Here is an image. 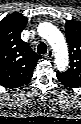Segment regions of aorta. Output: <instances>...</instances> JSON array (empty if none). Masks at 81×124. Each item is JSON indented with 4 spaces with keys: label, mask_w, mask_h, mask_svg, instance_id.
Returning <instances> with one entry per match:
<instances>
[{
    "label": "aorta",
    "mask_w": 81,
    "mask_h": 124,
    "mask_svg": "<svg viewBox=\"0 0 81 124\" xmlns=\"http://www.w3.org/2000/svg\"><path fill=\"white\" fill-rule=\"evenodd\" d=\"M38 33L51 45L55 54L56 67L64 71L69 62L67 44L62 33L50 23H41L38 26Z\"/></svg>",
    "instance_id": "aorta-1"
}]
</instances>
